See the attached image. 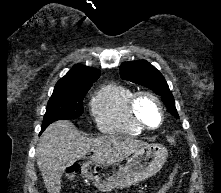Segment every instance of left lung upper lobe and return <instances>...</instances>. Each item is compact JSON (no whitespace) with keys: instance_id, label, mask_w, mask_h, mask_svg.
Listing matches in <instances>:
<instances>
[{"instance_id":"obj_1","label":"left lung upper lobe","mask_w":221,"mask_h":193,"mask_svg":"<svg viewBox=\"0 0 221 193\" xmlns=\"http://www.w3.org/2000/svg\"><path fill=\"white\" fill-rule=\"evenodd\" d=\"M120 76L125 80L143 85L161 96L169 112L179 118L175 101L167 82L162 74L150 63L145 60L123 63L120 66Z\"/></svg>"}]
</instances>
